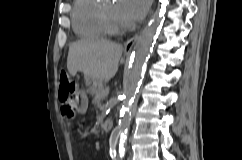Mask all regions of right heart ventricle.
<instances>
[{
    "label": "right heart ventricle",
    "instance_id": "right-heart-ventricle-1",
    "mask_svg": "<svg viewBox=\"0 0 242 160\" xmlns=\"http://www.w3.org/2000/svg\"><path fill=\"white\" fill-rule=\"evenodd\" d=\"M98 0H74L71 19L75 33L83 39L104 37L98 21Z\"/></svg>",
    "mask_w": 242,
    "mask_h": 160
}]
</instances>
